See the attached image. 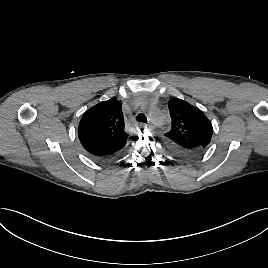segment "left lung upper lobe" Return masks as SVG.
Masks as SVG:
<instances>
[{
  "label": "left lung upper lobe",
  "mask_w": 268,
  "mask_h": 268,
  "mask_svg": "<svg viewBox=\"0 0 268 268\" xmlns=\"http://www.w3.org/2000/svg\"><path fill=\"white\" fill-rule=\"evenodd\" d=\"M168 106L172 127L164 134L167 141L184 149L206 150L212 138L213 127L205 114L178 98L170 99Z\"/></svg>",
  "instance_id": "left-lung-upper-lobe-1"
}]
</instances>
